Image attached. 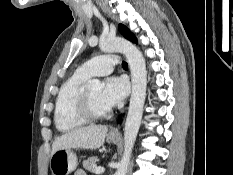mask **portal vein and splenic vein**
<instances>
[{"label": "portal vein and splenic vein", "mask_w": 233, "mask_h": 175, "mask_svg": "<svg viewBox=\"0 0 233 175\" xmlns=\"http://www.w3.org/2000/svg\"><path fill=\"white\" fill-rule=\"evenodd\" d=\"M104 171H105V169H104L103 167H96L95 170H94V172H95L96 174H101V173H103Z\"/></svg>", "instance_id": "portal-vein-and-splenic-vein-1"}]
</instances>
